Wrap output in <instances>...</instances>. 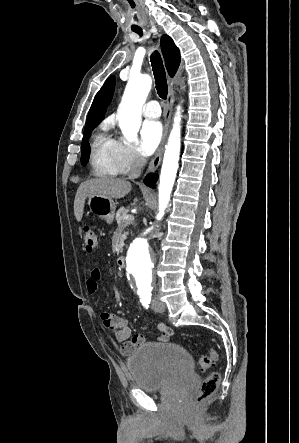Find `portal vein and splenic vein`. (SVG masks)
Instances as JSON below:
<instances>
[{"label": "portal vein and splenic vein", "mask_w": 299, "mask_h": 443, "mask_svg": "<svg viewBox=\"0 0 299 443\" xmlns=\"http://www.w3.org/2000/svg\"><path fill=\"white\" fill-rule=\"evenodd\" d=\"M124 219H125V220H133L134 217L131 216V215H127V216L124 217Z\"/></svg>", "instance_id": "portal-vein-and-splenic-vein-1"}]
</instances>
